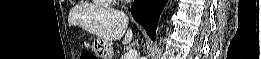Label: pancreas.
Returning a JSON list of instances; mask_svg holds the SVG:
<instances>
[{
	"instance_id": "pancreas-1",
	"label": "pancreas",
	"mask_w": 261,
	"mask_h": 59,
	"mask_svg": "<svg viewBox=\"0 0 261 59\" xmlns=\"http://www.w3.org/2000/svg\"><path fill=\"white\" fill-rule=\"evenodd\" d=\"M121 59H125V57H124V56H122V57H121Z\"/></svg>"
}]
</instances>
